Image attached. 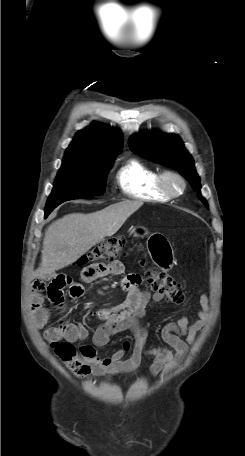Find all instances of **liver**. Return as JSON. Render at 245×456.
I'll use <instances>...</instances> for the list:
<instances>
[{
  "label": "liver",
  "instance_id": "6515ba94",
  "mask_svg": "<svg viewBox=\"0 0 245 456\" xmlns=\"http://www.w3.org/2000/svg\"><path fill=\"white\" fill-rule=\"evenodd\" d=\"M142 205V201L126 200L94 213H72L54 221L45 231L41 264L32 278L71 265L105 237L114 235Z\"/></svg>",
  "mask_w": 245,
  "mask_h": 456
}]
</instances>
